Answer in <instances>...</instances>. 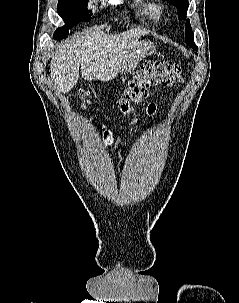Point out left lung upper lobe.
Segmentation results:
<instances>
[{
  "label": "left lung upper lobe",
  "mask_w": 239,
  "mask_h": 303,
  "mask_svg": "<svg viewBox=\"0 0 239 303\" xmlns=\"http://www.w3.org/2000/svg\"><path fill=\"white\" fill-rule=\"evenodd\" d=\"M167 1L172 3L177 8L178 18L180 20L186 19V13L189 5L188 0H167ZM185 35H186L185 38L186 43L193 49L198 50L197 46L194 43V36L189 19L186 20Z\"/></svg>",
  "instance_id": "left-lung-upper-lobe-1"
}]
</instances>
